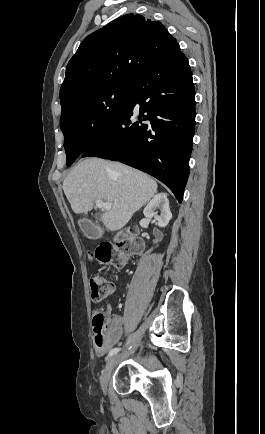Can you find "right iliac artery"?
Returning <instances> with one entry per match:
<instances>
[{
  "label": "right iliac artery",
  "instance_id": "1",
  "mask_svg": "<svg viewBox=\"0 0 265 434\" xmlns=\"http://www.w3.org/2000/svg\"><path fill=\"white\" fill-rule=\"evenodd\" d=\"M121 350V348H113L109 351L108 356L106 357V360H108L109 358H111L113 355L117 354L119 351Z\"/></svg>",
  "mask_w": 265,
  "mask_h": 434
}]
</instances>
